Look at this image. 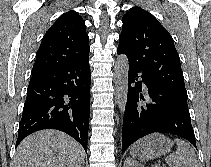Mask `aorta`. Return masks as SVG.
Returning <instances> with one entry per match:
<instances>
[{
  "label": "aorta",
  "mask_w": 211,
  "mask_h": 167,
  "mask_svg": "<svg viewBox=\"0 0 211 167\" xmlns=\"http://www.w3.org/2000/svg\"><path fill=\"white\" fill-rule=\"evenodd\" d=\"M129 62L125 54L117 57L114 66L115 91L120 113L123 115L127 103Z\"/></svg>",
  "instance_id": "aorta-1"
}]
</instances>
